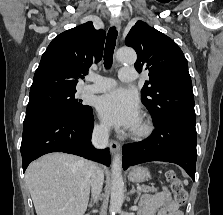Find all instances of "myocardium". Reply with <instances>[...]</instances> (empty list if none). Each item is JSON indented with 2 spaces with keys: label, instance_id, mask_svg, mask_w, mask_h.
Instances as JSON below:
<instances>
[{
  "label": "myocardium",
  "instance_id": "1",
  "mask_svg": "<svg viewBox=\"0 0 223 215\" xmlns=\"http://www.w3.org/2000/svg\"><path fill=\"white\" fill-rule=\"evenodd\" d=\"M152 132V123L148 119L140 117L137 124L130 130L129 136L134 140H144L147 139Z\"/></svg>",
  "mask_w": 223,
  "mask_h": 215
}]
</instances>
